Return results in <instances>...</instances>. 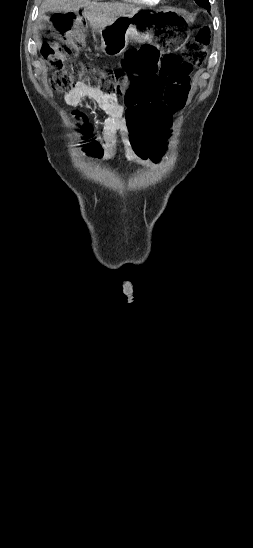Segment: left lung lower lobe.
I'll use <instances>...</instances> for the list:
<instances>
[{"mask_svg":"<svg viewBox=\"0 0 253 548\" xmlns=\"http://www.w3.org/2000/svg\"><path fill=\"white\" fill-rule=\"evenodd\" d=\"M199 6H202L206 9H208V11L210 10V4H209V1H205V2H201V1H195Z\"/></svg>","mask_w":253,"mask_h":548,"instance_id":"obj_1","label":"left lung lower lobe"}]
</instances>
